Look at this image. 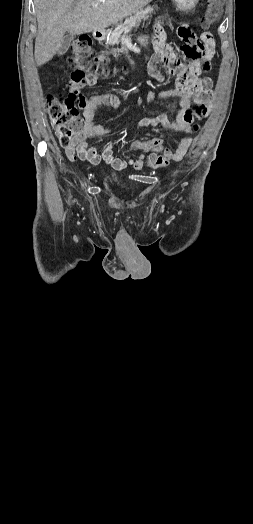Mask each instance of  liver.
Instances as JSON below:
<instances>
[{
    "label": "liver",
    "mask_w": 253,
    "mask_h": 524,
    "mask_svg": "<svg viewBox=\"0 0 253 524\" xmlns=\"http://www.w3.org/2000/svg\"><path fill=\"white\" fill-rule=\"evenodd\" d=\"M152 0H34L38 23L35 61L41 66L58 52L66 32L101 31L140 11ZM92 3H97L93 7Z\"/></svg>",
    "instance_id": "obj_1"
}]
</instances>
